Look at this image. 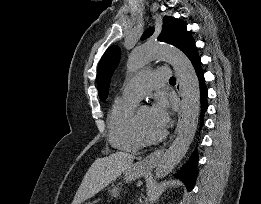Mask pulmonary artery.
I'll return each instance as SVG.
<instances>
[{"label": "pulmonary artery", "instance_id": "obj_1", "mask_svg": "<svg viewBox=\"0 0 261 204\" xmlns=\"http://www.w3.org/2000/svg\"><path fill=\"white\" fill-rule=\"evenodd\" d=\"M169 77L170 71L166 67L153 71H142L125 86L122 97L139 101L151 89L167 82Z\"/></svg>", "mask_w": 261, "mask_h": 204}]
</instances>
